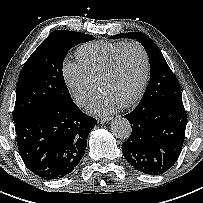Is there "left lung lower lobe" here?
Listing matches in <instances>:
<instances>
[{
	"label": "left lung lower lobe",
	"mask_w": 203,
	"mask_h": 203,
	"mask_svg": "<svg viewBox=\"0 0 203 203\" xmlns=\"http://www.w3.org/2000/svg\"><path fill=\"white\" fill-rule=\"evenodd\" d=\"M124 117L132 126V134L122 144L127 161L149 175H160L170 169L184 142L187 114L183 104L136 107Z\"/></svg>",
	"instance_id": "left-lung-lower-lobe-1"
}]
</instances>
